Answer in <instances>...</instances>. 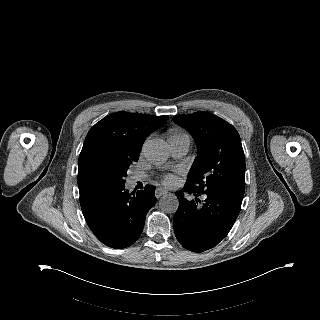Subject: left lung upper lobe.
Masks as SVG:
<instances>
[{
	"label": "left lung upper lobe",
	"instance_id": "5c2ea615",
	"mask_svg": "<svg viewBox=\"0 0 320 320\" xmlns=\"http://www.w3.org/2000/svg\"><path fill=\"white\" fill-rule=\"evenodd\" d=\"M173 120L193 136L198 149L186 185L196 193L228 189L244 195L245 156L235 128L202 111Z\"/></svg>",
	"mask_w": 320,
	"mask_h": 320
}]
</instances>
